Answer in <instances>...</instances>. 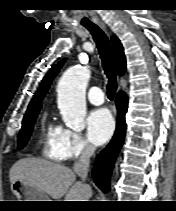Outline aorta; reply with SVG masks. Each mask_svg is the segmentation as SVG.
<instances>
[{
  "mask_svg": "<svg viewBox=\"0 0 176 211\" xmlns=\"http://www.w3.org/2000/svg\"><path fill=\"white\" fill-rule=\"evenodd\" d=\"M90 78L87 67H72L64 72L57 87V103L65 124L81 131L85 127V91Z\"/></svg>",
  "mask_w": 176,
  "mask_h": 211,
  "instance_id": "obj_1",
  "label": "aorta"
}]
</instances>
